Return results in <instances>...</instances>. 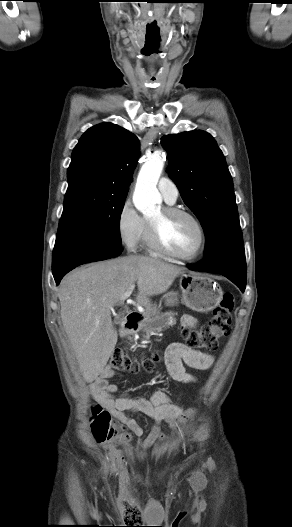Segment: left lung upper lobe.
I'll use <instances>...</instances> for the list:
<instances>
[{"label": "left lung upper lobe", "mask_w": 292, "mask_h": 527, "mask_svg": "<svg viewBox=\"0 0 292 527\" xmlns=\"http://www.w3.org/2000/svg\"><path fill=\"white\" fill-rule=\"evenodd\" d=\"M168 173L206 234L205 258L244 252L232 177L213 137L200 130L166 135Z\"/></svg>", "instance_id": "left-lung-upper-lobe-1"}]
</instances>
